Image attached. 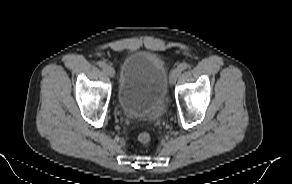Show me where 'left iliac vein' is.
Masks as SVG:
<instances>
[{
  "label": "left iliac vein",
  "mask_w": 292,
  "mask_h": 184,
  "mask_svg": "<svg viewBox=\"0 0 292 184\" xmlns=\"http://www.w3.org/2000/svg\"><path fill=\"white\" fill-rule=\"evenodd\" d=\"M180 73L181 72L179 71L178 68L172 70V72L170 74V79H169L171 85L175 84V82H176L177 78L179 77Z\"/></svg>",
  "instance_id": "obj_1"
}]
</instances>
